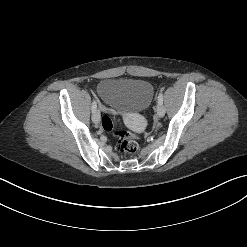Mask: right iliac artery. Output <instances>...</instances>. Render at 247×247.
I'll return each instance as SVG.
<instances>
[{
	"instance_id": "82829eb1",
	"label": "right iliac artery",
	"mask_w": 247,
	"mask_h": 247,
	"mask_svg": "<svg viewBox=\"0 0 247 247\" xmlns=\"http://www.w3.org/2000/svg\"><path fill=\"white\" fill-rule=\"evenodd\" d=\"M97 109V102L96 100H93V103H92V113H94Z\"/></svg>"
}]
</instances>
